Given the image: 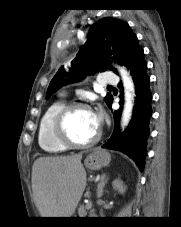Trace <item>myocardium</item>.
<instances>
[{"label":"myocardium","mask_w":181,"mask_h":227,"mask_svg":"<svg viewBox=\"0 0 181 227\" xmlns=\"http://www.w3.org/2000/svg\"><path fill=\"white\" fill-rule=\"evenodd\" d=\"M88 110L91 112L90 107L82 102H73L65 104L56 114L53 120V132L58 141L72 148H88L96 144L101 136V132L98 130L97 133L89 140L80 142L74 140L68 132L67 121L69 116L76 110Z\"/></svg>","instance_id":"f54148a6"}]
</instances>
